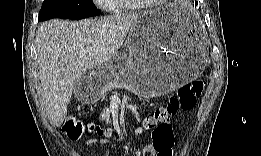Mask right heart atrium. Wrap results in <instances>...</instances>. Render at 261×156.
<instances>
[{
    "mask_svg": "<svg viewBox=\"0 0 261 156\" xmlns=\"http://www.w3.org/2000/svg\"><path fill=\"white\" fill-rule=\"evenodd\" d=\"M97 4L105 10H114V5L112 0H100Z\"/></svg>",
    "mask_w": 261,
    "mask_h": 156,
    "instance_id": "obj_1",
    "label": "right heart atrium"
}]
</instances>
